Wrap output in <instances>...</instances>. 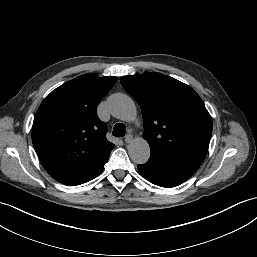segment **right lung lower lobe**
<instances>
[{"instance_id": "98d812e1", "label": "right lung lower lobe", "mask_w": 257, "mask_h": 257, "mask_svg": "<svg viewBox=\"0 0 257 257\" xmlns=\"http://www.w3.org/2000/svg\"><path fill=\"white\" fill-rule=\"evenodd\" d=\"M104 168V165L99 168L98 170H96L95 172L91 173L88 177H86L85 179L79 181V182H74V183H69V184H66V185H69V186H74V185H79V184H83L85 182H88L89 180L95 178L98 174L101 173V171L103 170Z\"/></svg>"}]
</instances>
